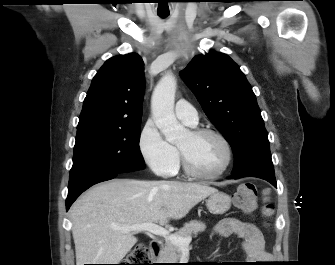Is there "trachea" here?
<instances>
[{
    "mask_svg": "<svg viewBox=\"0 0 335 265\" xmlns=\"http://www.w3.org/2000/svg\"><path fill=\"white\" fill-rule=\"evenodd\" d=\"M161 18H165V17H167L168 15L166 14H158Z\"/></svg>",
    "mask_w": 335,
    "mask_h": 265,
    "instance_id": "1",
    "label": "trachea"
}]
</instances>
